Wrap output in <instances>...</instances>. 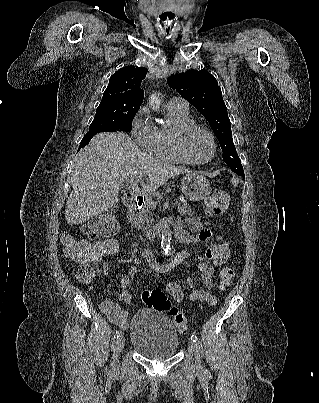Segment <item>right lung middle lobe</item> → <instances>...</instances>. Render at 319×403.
Here are the masks:
<instances>
[{"mask_svg": "<svg viewBox=\"0 0 319 403\" xmlns=\"http://www.w3.org/2000/svg\"><path fill=\"white\" fill-rule=\"evenodd\" d=\"M138 110L139 108L124 104H100L89 130L120 129L129 132L132 129V120Z\"/></svg>", "mask_w": 319, "mask_h": 403, "instance_id": "right-lung-middle-lobe-1", "label": "right lung middle lobe"}]
</instances>
